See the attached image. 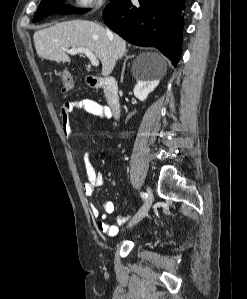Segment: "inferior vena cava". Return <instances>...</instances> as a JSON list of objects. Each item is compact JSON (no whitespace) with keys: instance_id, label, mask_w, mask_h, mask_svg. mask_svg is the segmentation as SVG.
<instances>
[{"instance_id":"1","label":"inferior vena cava","mask_w":247,"mask_h":299,"mask_svg":"<svg viewBox=\"0 0 247 299\" xmlns=\"http://www.w3.org/2000/svg\"><path fill=\"white\" fill-rule=\"evenodd\" d=\"M107 33L110 35L111 34V32L109 31V30H107Z\"/></svg>"}]
</instances>
